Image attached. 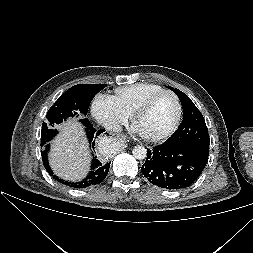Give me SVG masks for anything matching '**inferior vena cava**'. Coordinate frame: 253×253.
Here are the masks:
<instances>
[{"mask_svg":"<svg viewBox=\"0 0 253 253\" xmlns=\"http://www.w3.org/2000/svg\"><path fill=\"white\" fill-rule=\"evenodd\" d=\"M104 127L108 131H113L117 133L122 131V127L117 122L112 121V120L105 122Z\"/></svg>","mask_w":253,"mask_h":253,"instance_id":"602c4592","label":"inferior vena cava"}]
</instances>
